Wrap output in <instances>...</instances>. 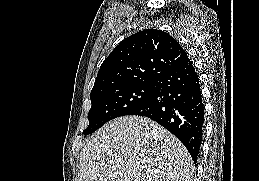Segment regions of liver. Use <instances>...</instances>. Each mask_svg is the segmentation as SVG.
Returning a JSON list of instances; mask_svg holds the SVG:
<instances>
[{
    "label": "liver",
    "mask_w": 259,
    "mask_h": 181,
    "mask_svg": "<svg viewBox=\"0 0 259 181\" xmlns=\"http://www.w3.org/2000/svg\"><path fill=\"white\" fill-rule=\"evenodd\" d=\"M193 174L185 146L140 116L108 122L80 152L79 181H194Z\"/></svg>",
    "instance_id": "obj_1"
}]
</instances>
